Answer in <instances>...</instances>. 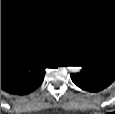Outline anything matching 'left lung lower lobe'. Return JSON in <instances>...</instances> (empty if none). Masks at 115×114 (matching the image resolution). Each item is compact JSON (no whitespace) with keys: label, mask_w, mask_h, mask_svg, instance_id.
Wrapping results in <instances>:
<instances>
[{"label":"left lung lower lobe","mask_w":115,"mask_h":114,"mask_svg":"<svg viewBox=\"0 0 115 114\" xmlns=\"http://www.w3.org/2000/svg\"><path fill=\"white\" fill-rule=\"evenodd\" d=\"M82 70L71 74L72 81L81 89L97 92L108 87L115 80V71L95 63L80 61Z\"/></svg>","instance_id":"0a47b994"}]
</instances>
